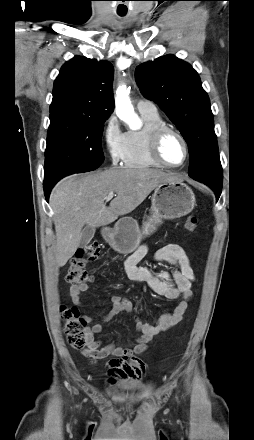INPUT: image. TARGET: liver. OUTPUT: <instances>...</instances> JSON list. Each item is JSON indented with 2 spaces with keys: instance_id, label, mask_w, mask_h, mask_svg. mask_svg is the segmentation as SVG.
<instances>
[{
  "instance_id": "liver-1",
  "label": "liver",
  "mask_w": 254,
  "mask_h": 440,
  "mask_svg": "<svg viewBox=\"0 0 254 440\" xmlns=\"http://www.w3.org/2000/svg\"><path fill=\"white\" fill-rule=\"evenodd\" d=\"M178 180L149 168H113L60 180L50 194L56 231V262L64 266L75 254L85 225L100 227L136 209L161 183ZM117 196L107 207L105 197Z\"/></svg>"
}]
</instances>
